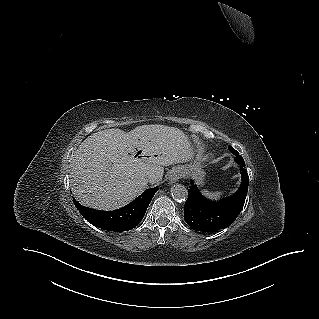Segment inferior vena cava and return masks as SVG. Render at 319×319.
I'll use <instances>...</instances> for the list:
<instances>
[{
	"label": "inferior vena cava",
	"instance_id": "inferior-vena-cava-1",
	"mask_svg": "<svg viewBox=\"0 0 319 319\" xmlns=\"http://www.w3.org/2000/svg\"><path fill=\"white\" fill-rule=\"evenodd\" d=\"M152 178H153L152 175H148V176L146 177L147 181H149V182L152 181Z\"/></svg>",
	"mask_w": 319,
	"mask_h": 319
}]
</instances>
